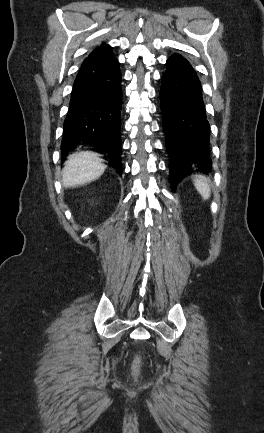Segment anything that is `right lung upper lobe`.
Returning a JSON list of instances; mask_svg holds the SVG:
<instances>
[{
	"mask_svg": "<svg viewBox=\"0 0 264 433\" xmlns=\"http://www.w3.org/2000/svg\"><path fill=\"white\" fill-rule=\"evenodd\" d=\"M95 50H97L101 53H106V54H111V55L113 54L111 47L109 45H106L105 43L101 44V46L96 48Z\"/></svg>",
	"mask_w": 264,
	"mask_h": 433,
	"instance_id": "obj_1",
	"label": "right lung upper lobe"
}]
</instances>
